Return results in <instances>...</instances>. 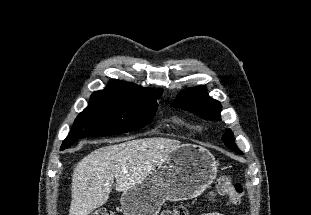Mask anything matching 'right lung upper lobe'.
Returning a JSON list of instances; mask_svg holds the SVG:
<instances>
[{
    "label": "right lung upper lobe",
    "instance_id": "obj_1",
    "mask_svg": "<svg viewBox=\"0 0 311 215\" xmlns=\"http://www.w3.org/2000/svg\"><path fill=\"white\" fill-rule=\"evenodd\" d=\"M162 90L143 88L134 83L120 80H111L104 90L93 93V96H113L133 100H154L160 98Z\"/></svg>",
    "mask_w": 311,
    "mask_h": 215
}]
</instances>
